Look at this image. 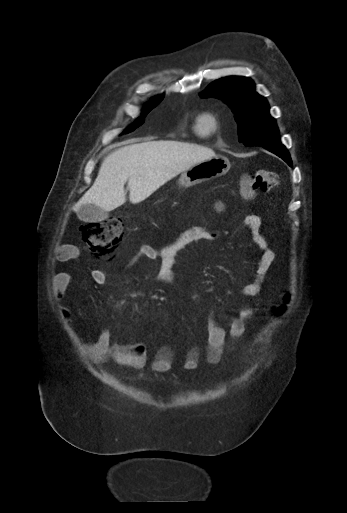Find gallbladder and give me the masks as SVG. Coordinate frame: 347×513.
Wrapping results in <instances>:
<instances>
[{"instance_id":"gallbladder-1","label":"gallbladder","mask_w":347,"mask_h":513,"mask_svg":"<svg viewBox=\"0 0 347 513\" xmlns=\"http://www.w3.org/2000/svg\"><path fill=\"white\" fill-rule=\"evenodd\" d=\"M77 216L81 221L91 223L108 218V213L93 204H87L79 209Z\"/></svg>"}]
</instances>
